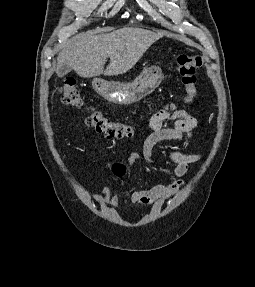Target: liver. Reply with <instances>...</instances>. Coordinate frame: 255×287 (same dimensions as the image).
<instances>
[{
  "mask_svg": "<svg viewBox=\"0 0 255 287\" xmlns=\"http://www.w3.org/2000/svg\"><path fill=\"white\" fill-rule=\"evenodd\" d=\"M159 38L160 34L141 28H121L98 36L78 34L60 52L58 68L70 66L81 78L126 74ZM107 58L110 64L104 70Z\"/></svg>",
  "mask_w": 255,
  "mask_h": 287,
  "instance_id": "1",
  "label": "liver"
}]
</instances>
